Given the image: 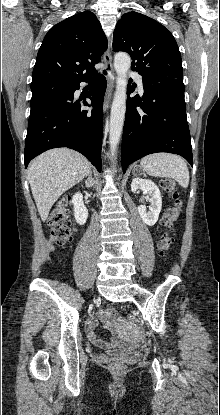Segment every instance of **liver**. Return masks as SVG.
Instances as JSON below:
<instances>
[{
  "label": "liver",
  "instance_id": "6515ba94",
  "mask_svg": "<svg viewBox=\"0 0 220 415\" xmlns=\"http://www.w3.org/2000/svg\"><path fill=\"white\" fill-rule=\"evenodd\" d=\"M91 172V163L67 148L46 151L28 168V180L43 222L58 198Z\"/></svg>",
  "mask_w": 220,
  "mask_h": 415
}]
</instances>
